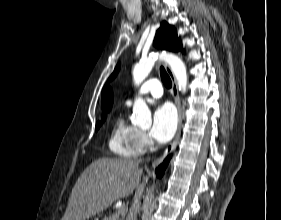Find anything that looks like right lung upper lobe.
Segmentation results:
<instances>
[{"mask_svg": "<svg viewBox=\"0 0 281 220\" xmlns=\"http://www.w3.org/2000/svg\"><path fill=\"white\" fill-rule=\"evenodd\" d=\"M112 103H113L112 91L109 87H105L102 91V99H101L102 109L106 112L110 111Z\"/></svg>", "mask_w": 281, "mask_h": 220, "instance_id": "obj_1", "label": "right lung upper lobe"}]
</instances>
